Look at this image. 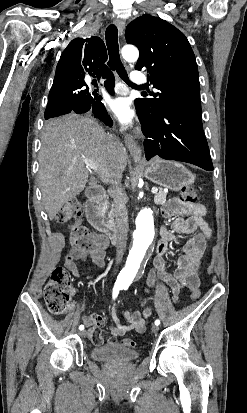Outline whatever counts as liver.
<instances>
[{
    "mask_svg": "<svg viewBox=\"0 0 247 413\" xmlns=\"http://www.w3.org/2000/svg\"><path fill=\"white\" fill-rule=\"evenodd\" d=\"M39 150V186L49 219H56L63 204L85 188L90 170L85 158L93 160L102 182H110L113 172H123L128 154L123 144L107 138L95 118L66 114L47 120Z\"/></svg>",
    "mask_w": 247,
    "mask_h": 413,
    "instance_id": "obj_1",
    "label": "liver"
}]
</instances>
